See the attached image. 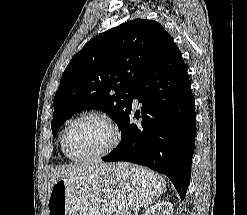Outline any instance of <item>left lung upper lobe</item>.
I'll return each mask as SVG.
<instances>
[{
	"label": "left lung upper lobe",
	"mask_w": 247,
	"mask_h": 215,
	"mask_svg": "<svg viewBox=\"0 0 247 215\" xmlns=\"http://www.w3.org/2000/svg\"><path fill=\"white\" fill-rule=\"evenodd\" d=\"M171 41L158 22L135 19L87 42L72 57L55 94L53 136L74 113L87 109L107 113L120 127L136 87Z\"/></svg>",
	"instance_id": "5c2ea615"
}]
</instances>
